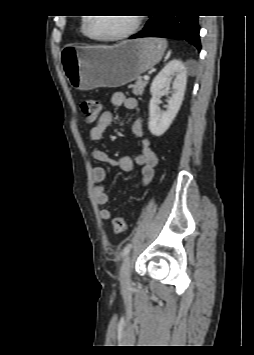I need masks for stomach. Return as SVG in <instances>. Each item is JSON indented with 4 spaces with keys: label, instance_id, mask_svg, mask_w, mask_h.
I'll return each mask as SVG.
<instances>
[{
    "label": "stomach",
    "instance_id": "obj_1",
    "mask_svg": "<svg viewBox=\"0 0 254 355\" xmlns=\"http://www.w3.org/2000/svg\"><path fill=\"white\" fill-rule=\"evenodd\" d=\"M166 48V41L160 38L129 40L112 47L67 45L61 50L60 61L75 89L119 87L154 67Z\"/></svg>",
    "mask_w": 254,
    "mask_h": 355
}]
</instances>
